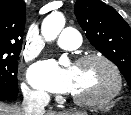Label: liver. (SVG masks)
Masks as SVG:
<instances>
[{"label":"liver","mask_w":131,"mask_h":115,"mask_svg":"<svg viewBox=\"0 0 131 115\" xmlns=\"http://www.w3.org/2000/svg\"><path fill=\"white\" fill-rule=\"evenodd\" d=\"M0 115H24L22 110L17 106H7L0 103ZM48 115H71V113L50 112Z\"/></svg>","instance_id":"obj_1"}]
</instances>
